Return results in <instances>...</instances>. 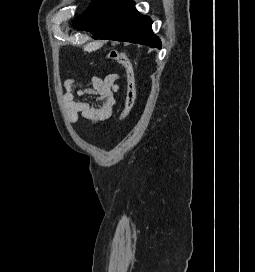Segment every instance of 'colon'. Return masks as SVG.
I'll use <instances>...</instances> for the list:
<instances>
[{"mask_svg": "<svg viewBox=\"0 0 255 272\" xmlns=\"http://www.w3.org/2000/svg\"><path fill=\"white\" fill-rule=\"evenodd\" d=\"M108 59L123 67L126 73V97L122 113V120H125L131 113L136 99L134 68L130 58L124 52L113 50L108 54Z\"/></svg>", "mask_w": 255, "mask_h": 272, "instance_id": "obj_1", "label": "colon"}]
</instances>
